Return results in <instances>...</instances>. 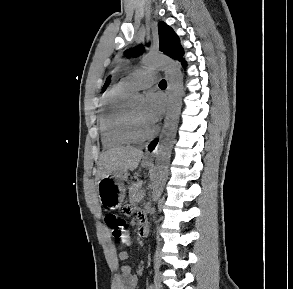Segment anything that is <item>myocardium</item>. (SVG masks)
<instances>
[{
	"instance_id": "1",
	"label": "myocardium",
	"mask_w": 293,
	"mask_h": 289,
	"mask_svg": "<svg viewBox=\"0 0 293 289\" xmlns=\"http://www.w3.org/2000/svg\"><path fill=\"white\" fill-rule=\"evenodd\" d=\"M125 126H126V133L130 140V142L134 144H143L146 142L151 141L157 134V128L153 127L149 134L145 136H141L137 133L134 120L132 118L130 108H126V115H125Z\"/></svg>"
}]
</instances>
